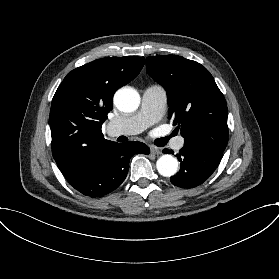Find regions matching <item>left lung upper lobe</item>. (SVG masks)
Returning <instances> with one entry per match:
<instances>
[{
  "label": "left lung upper lobe",
  "mask_w": 279,
  "mask_h": 279,
  "mask_svg": "<svg viewBox=\"0 0 279 279\" xmlns=\"http://www.w3.org/2000/svg\"><path fill=\"white\" fill-rule=\"evenodd\" d=\"M146 65L168 94L169 118L178 125L184 145L223 152L228 142L227 105L210 72L177 55L150 56Z\"/></svg>",
  "instance_id": "5c2ea615"
}]
</instances>
